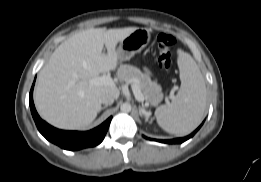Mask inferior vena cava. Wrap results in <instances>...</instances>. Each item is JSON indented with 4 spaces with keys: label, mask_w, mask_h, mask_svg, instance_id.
<instances>
[{
    "label": "inferior vena cava",
    "mask_w": 261,
    "mask_h": 182,
    "mask_svg": "<svg viewBox=\"0 0 261 182\" xmlns=\"http://www.w3.org/2000/svg\"><path fill=\"white\" fill-rule=\"evenodd\" d=\"M114 97L110 94H106L102 96L101 103L105 104L106 106L113 104Z\"/></svg>",
    "instance_id": "inferior-vena-cava-1"
}]
</instances>
